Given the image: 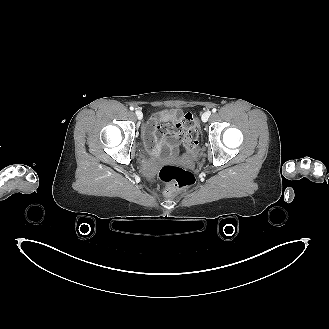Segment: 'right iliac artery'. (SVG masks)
Masks as SVG:
<instances>
[{"label":"right iliac artery","instance_id":"1","mask_svg":"<svg viewBox=\"0 0 329 329\" xmlns=\"http://www.w3.org/2000/svg\"><path fill=\"white\" fill-rule=\"evenodd\" d=\"M130 110H132V111H133V110H134V108H133V107H130Z\"/></svg>","mask_w":329,"mask_h":329}]
</instances>
